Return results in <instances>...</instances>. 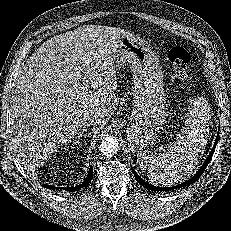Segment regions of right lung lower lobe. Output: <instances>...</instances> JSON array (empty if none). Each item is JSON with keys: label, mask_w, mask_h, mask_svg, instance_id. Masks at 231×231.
I'll list each match as a JSON object with an SVG mask.
<instances>
[{"label": "right lung lower lobe", "mask_w": 231, "mask_h": 231, "mask_svg": "<svg viewBox=\"0 0 231 231\" xmlns=\"http://www.w3.org/2000/svg\"><path fill=\"white\" fill-rule=\"evenodd\" d=\"M92 178H93V170H92V166H90L88 176L82 184L77 185L75 187L60 188V189L68 190L71 192L77 191L83 187H86L90 183ZM43 187L48 188V189H59V187H55V186H51V185H43Z\"/></svg>", "instance_id": "98d812e1"}]
</instances>
